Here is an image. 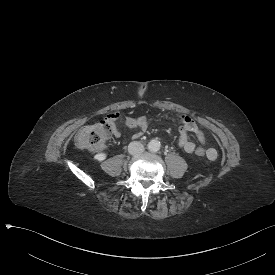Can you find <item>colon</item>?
<instances>
[{
    "label": "colon",
    "mask_w": 275,
    "mask_h": 275,
    "mask_svg": "<svg viewBox=\"0 0 275 275\" xmlns=\"http://www.w3.org/2000/svg\"><path fill=\"white\" fill-rule=\"evenodd\" d=\"M117 116L110 112L104 121L89 125L81 129L76 135V145L80 149L102 150L110 137L112 130L116 127ZM143 123L142 117L126 118V125H139ZM197 156H204L206 150L198 147L195 151Z\"/></svg>",
    "instance_id": "colon-1"
}]
</instances>
